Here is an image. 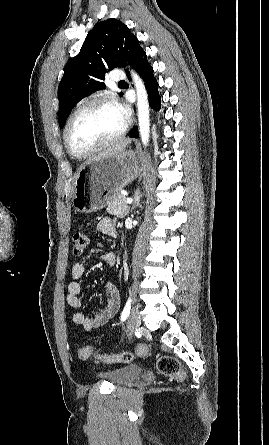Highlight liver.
<instances>
[{"instance_id": "1", "label": "liver", "mask_w": 269, "mask_h": 445, "mask_svg": "<svg viewBox=\"0 0 269 445\" xmlns=\"http://www.w3.org/2000/svg\"><path fill=\"white\" fill-rule=\"evenodd\" d=\"M130 142H131L130 139H123V140L109 146L106 150H104L102 153H100L98 156H96L93 159H98V158L104 157V156L117 155V154L121 153ZM89 161H91V160H89Z\"/></svg>"}]
</instances>
